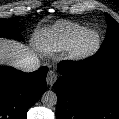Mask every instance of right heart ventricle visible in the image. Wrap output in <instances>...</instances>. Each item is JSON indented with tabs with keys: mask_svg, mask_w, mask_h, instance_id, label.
<instances>
[{
	"mask_svg": "<svg viewBox=\"0 0 119 119\" xmlns=\"http://www.w3.org/2000/svg\"><path fill=\"white\" fill-rule=\"evenodd\" d=\"M85 31L87 28L77 23H58L47 33L45 50L48 52L69 50Z\"/></svg>",
	"mask_w": 119,
	"mask_h": 119,
	"instance_id": "e07e8e85",
	"label": "right heart ventricle"
}]
</instances>
